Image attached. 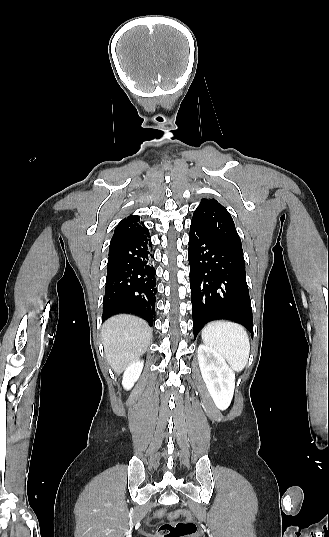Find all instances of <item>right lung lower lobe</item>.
Listing matches in <instances>:
<instances>
[{
  "label": "right lung lower lobe",
  "mask_w": 329,
  "mask_h": 537,
  "mask_svg": "<svg viewBox=\"0 0 329 537\" xmlns=\"http://www.w3.org/2000/svg\"><path fill=\"white\" fill-rule=\"evenodd\" d=\"M148 229L128 239L111 242L107 263L102 320L130 313L155 322L156 272Z\"/></svg>",
  "instance_id": "98d812e1"
}]
</instances>
